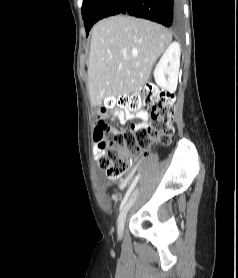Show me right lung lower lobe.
<instances>
[{
    "instance_id": "1",
    "label": "right lung lower lobe",
    "mask_w": 238,
    "mask_h": 278,
    "mask_svg": "<svg viewBox=\"0 0 238 278\" xmlns=\"http://www.w3.org/2000/svg\"><path fill=\"white\" fill-rule=\"evenodd\" d=\"M115 14H129L172 28L182 23L181 0H97L84 19L86 34L98 20Z\"/></svg>"
}]
</instances>
